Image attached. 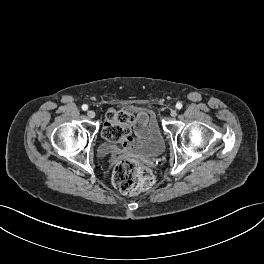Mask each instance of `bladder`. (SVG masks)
<instances>
[{
    "label": "bladder",
    "instance_id": "31cf9c89",
    "mask_svg": "<svg viewBox=\"0 0 264 264\" xmlns=\"http://www.w3.org/2000/svg\"><path fill=\"white\" fill-rule=\"evenodd\" d=\"M100 152L107 156L114 152V145L104 142L100 145ZM165 142L154 114H149L147 134L135 146V152L144 157H156L164 152Z\"/></svg>",
    "mask_w": 264,
    "mask_h": 264
}]
</instances>
